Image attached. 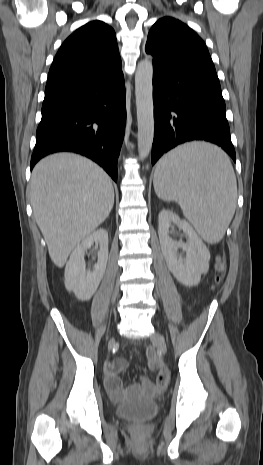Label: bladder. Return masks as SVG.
Masks as SVG:
<instances>
[{
	"label": "bladder",
	"mask_w": 263,
	"mask_h": 465,
	"mask_svg": "<svg viewBox=\"0 0 263 465\" xmlns=\"http://www.w3.org/2000/svg\"><path fill=\"white\" fill-rule=\"evenodd\" d=\"M159 412V404L149 398H137L118 404L115 415L118 418L134 421H147Z\"/></svg>",
	"instance_id": "1"
}]
</instances>
